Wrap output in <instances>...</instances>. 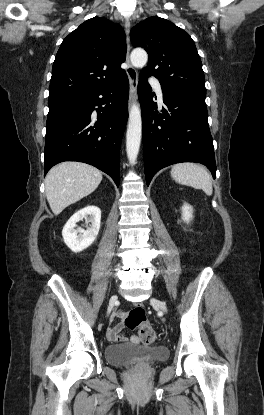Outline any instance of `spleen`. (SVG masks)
I'll use <instances>...</instances> for the list:
<instances>
[{
	"label": "spleen",
	"instance_id": "spleen-1",
	"mask_svg": "<svg viewBox=\"0 0 264 415\" xmlns=\"http://www.w3.org/2000/svg\"><path fill=\"white\" fill-rule=\"evenodd\" d=\"M172 178L179 184L202 189L207 195H212V181L208 171L194 163H179L171 169Z\"/></svg>",
	"mask_w": 264,
	"mask_h": 415
}]
</instances>
